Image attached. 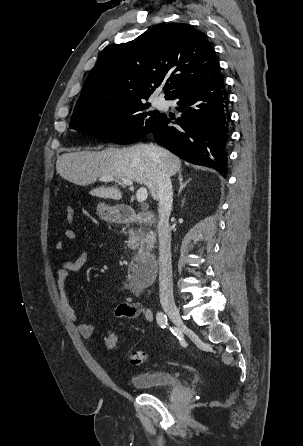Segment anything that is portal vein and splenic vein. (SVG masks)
I'll list each match as a JSON object with an SVG mask.
<instances>
[{
    "mask_svg": "<svg viewBox=\"0 0 303 446\" xmlns=\"http://www.w3.org/2000/svg\"><path fill=\"white\" fill-rule=\"evenodd\" d=\"M100 180L105 181V182H108V181H112V180H114V178H113L112 176H103V177L100 178ZM121 181H122L123 184L128 185V186L133 185V181L130 180V179H127V178H121ZM147 197H148V192H147V189H146V188L141 187V188H139V189L137 190L136 198H137V201H138V202H144V201H146Z\"/></svg>",
    "mask_w": 303,
    "mask_h": 446,
    "instance_id": "obj_1",
    "label": "portal vein and splenic vein"
}]
</instances>
